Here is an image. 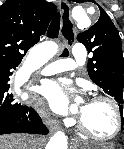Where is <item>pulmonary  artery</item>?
<instances>
[{
	"mask_svg": "<svg viewBox=\"0 0 124 149\" xmlns=\"http://www.w3.org/2000/svg\"><path fill=\"white\" fill-rule=\"evenodd\" d=\"M85 60H86L85 46L81 43H77L72 48L71 57L51 62L41 67V71L44 75H49L65 70L74 69L78 66H82L85 63Z\"/></svg>",
	"mask_w": 124,
	"mask_h": 149,
	"instance_id": "e3ab8cb5",
	"label": "pulmonary artery"
}]
</instances>
